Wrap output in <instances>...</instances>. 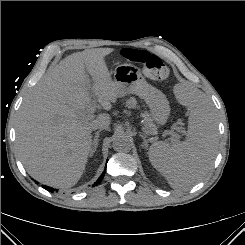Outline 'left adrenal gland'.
<instances>
[{"label": "left adrenal gland", "mask_w": 245, "mask_h": 245, "mask_svg": "<svg viewBox=\"0 0 245 245\" xmlns=\"http://www.w3.org/2000/svg\"><path fill=\"white\" fill-rule=\"evenodd\" d=\"M140 136L143 139V144L141 145L142 148L147 149L148 148V141H147L146 137L143 134H141V133H140Z\"/></svg>", "instance_id": "1"}]
</instances>
